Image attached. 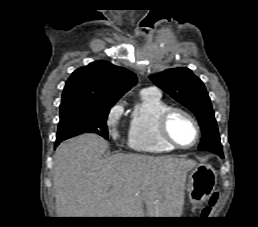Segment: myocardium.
Segmentation results:
<instances>
[{
	"instance_id": "1",
	"label": "myocardium",
	"mask_w": 258,
	"mask_h": 227,
	"mask_svg": "<svg viewBox=\"0 0 258 227\" xmlns=\"http://www.w3.org/2000/svg\"><path fill=\"white\" fill-rule=\"evenodd\" d=\"M175 114H181L187 117L193 124L196 131V137L192 144L187 146L181 145L172 137L169 130V122ZM158 130H159L160 137L162 138L163 141L173 146L174 148H178V149H190L194 147L198 143L201 135L200 125L196 120V118L188 111L178 107H169L160 115L158 120Z\"/></svg>"
}]
</instances>
